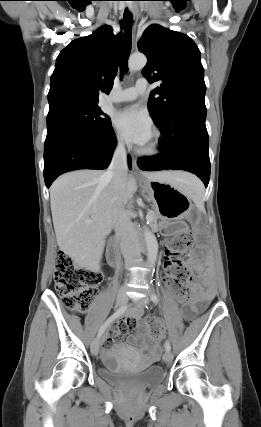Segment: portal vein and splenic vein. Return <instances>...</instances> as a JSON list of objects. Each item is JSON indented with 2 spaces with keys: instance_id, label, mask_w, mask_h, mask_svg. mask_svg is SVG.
<instances>
[{
  "instance_id": "1",
  "label": "portal vein and splenic vein",
  "mask_w": 261,
  "mask_h": 427,
  "mask_svg": "<svg viewBox=\"0 0 261 427\" xmlns=\"http://www.w3.org/2000/svg\"><path fill=\"white\" fill-rule=\"evenodd\" d=\"M146 218H147V219H149V218H150L149 214L146 216Z\"/></svg>"
}]
</instances>
